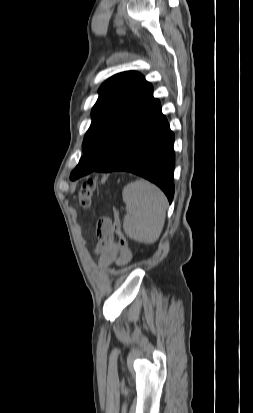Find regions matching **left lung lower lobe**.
<instances>
[{"label": "left lung lower lobe", "instance_id": "0a47b994", "mask_svg": "<svg viewBox=\"0 0 253 413\" xmlns=\"http://www.w3.org/2000/svg\"><path fill=\"white\" fill-rule=\"evenodd\" d=\"M117 148L96 171H127L158 185L172 202L174 196V134L158 99L135 118L123 121Z\"/></svg>", "mask_w": 253, "mask_h": 413}]
</instances>
